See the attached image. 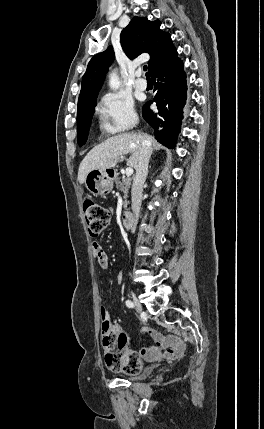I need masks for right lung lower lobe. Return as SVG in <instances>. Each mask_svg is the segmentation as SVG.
Segmentation results:
<instances>
[{"instance_id": "right-lung-lower-lobe-1", "label": "right lung lower lobe", "mask_w": 264, "mask_h": 429, "mask_svg": "<svg viewBox=\"0 0 264 429\" xmlns=\"http://www.w3.org/2000/svg\"><path fill=\"white\" fill-rule=\"evenodd\" d=\"M157 90L154 102L157 111L149 109L152 101L147 102L142 115L154 129L156 139L169 148H174L177 134L180 132L182 109L186 103V74L183 62L176 49L165 58L151 73Z\"/></svg>"}]
</instances>
